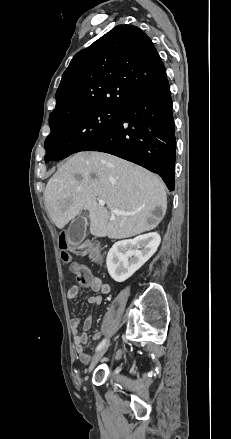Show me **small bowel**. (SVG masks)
Segmentation results:
<instances>
[{"instance_id":"obj_1","label":"small bowel","mask_w":231,"mask_h":439,"mask_svg":"<svg viewBox=\"0 0 231 439\" xmlns=\"http://www.w3.org/2000/svg\"><path fill=\"white\" fill-rule=\"evenodd\" d=\"M95 292L94 295L88 298L90 305L98 306L102 303L103 296L110 292V285L103 282L99 277L91 275L90 282L85 286ZM79 285H73L66 293L68 301L74 300L79 293ZM92 316H87L83 321L80 318H73L70 321V329L72 332L75 351L81 362L87 363L90 360V355L85 352L84 347L89 343L88 332L92 327ZM101 332H96L93 335L94 340L101 338ZM121 351H118L117 357H120Z\"/></svg>"}]
</instances>
